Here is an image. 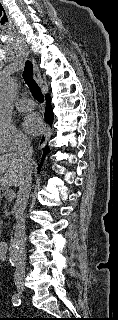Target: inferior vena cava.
<instances>
[{"instance_id":"obj_1","label":"inferior vena cava","mask_w":118,"mask_h":320,"mask_svg":"<svg viewBox=\"0 0 118 320\" xmlns=\"http://www.w3.org/2000/svg\"><path fill=\"white\" fill-rule=\"evenodd\" d=\"M33 148L30 140L22 138L20 140L17 157L24 164V175L19 184V190L17 193L16 202L14 204L12 213L16 218V226L14 237L18 246L17 259L15 262L14 281L19 283L25 278V245H26V233H25V220L24 211L29 199L32 183L31 166L33 164L32 159Z\"/></svg>"}]
</instances>
